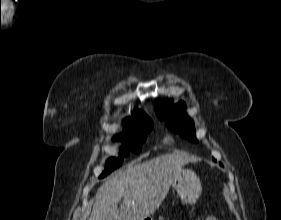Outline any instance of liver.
Returning <instances> with one entry per match:
<instances>
[{
	"instance_id": "1",
	"label": "liver",
	"mask_w": 281,
	"mask_h": 220,
	"mask_svg": "<svg viewBox=\"0 0 281 220\" xmlns=\"http://www.w3.org/2000/svg\"><path fill=\"white\" fill-rule=\"evenodd\" d=\"M191 160L185 153L174 152L118 172L98 188L89 220H145L159 208L175 176Z\"/></svg>"
}]
</instances>
